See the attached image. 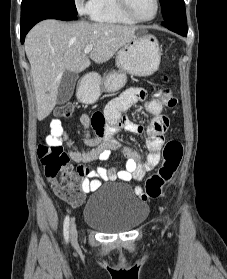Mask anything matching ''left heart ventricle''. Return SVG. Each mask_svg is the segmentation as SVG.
<instances>
[{
	"mask_svg": "<svg viewBox=\"0 0 227 279\" xmlns=\"http://www.w3.org/2000/svg\"><path fill=\"white\" fill-rule=\"evenodd\" d=\"M134 14L139 18H149L155 10L154 0H129Z\"/></svg>",
	"mask_w": 227,
	"mask_h": 279,
	"instance_id": "1",
	"label": "left heart ventricle"
}]
</instances>
